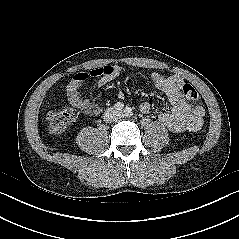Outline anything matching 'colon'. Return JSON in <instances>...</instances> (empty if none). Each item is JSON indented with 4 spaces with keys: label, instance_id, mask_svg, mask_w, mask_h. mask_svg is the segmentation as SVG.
<instances>
[{
    "label": "colon",
    "instance_id": "colon-1",
    "mask_svg": "<svg viewBox=\"0 0 239 239\" xmlns=\"http://www.w3.org/2000/svg\"><path fill=\"white\" fill-rule=\"evenodd\" d=\"M182 93L185 98L192 104L199 101L197 90L189 83H185L182 87ZM74 119L72 111L67 109L53 110L47 114L48 130L52 135L61 134Z\"/></svg>",
    "mask_w": 239,
    "mask_h": 239
}]
</instances>
